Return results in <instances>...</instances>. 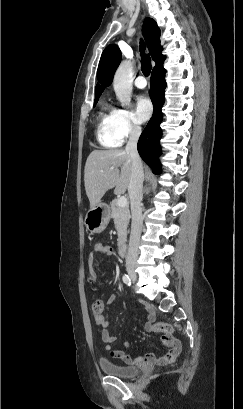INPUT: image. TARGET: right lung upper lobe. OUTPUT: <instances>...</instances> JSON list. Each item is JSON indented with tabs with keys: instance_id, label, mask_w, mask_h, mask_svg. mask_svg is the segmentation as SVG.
<instances>
[{
	"instance_id": "cb5924a9",
	"label": "right lung upper lobe",
	"mask_w": 243,
	"mask_h": 409,
	"mask_svg": "<svg viewBox=\"0 0 243 409\" xmlns=\"http://www.w3.org/2000/svg\"><path fill=\"white\" fill-rule=\"evenodd\" d=\"M143 34L152 59L158 63L165 56L161 54L160 29L152 18L147 17L144 20ZM120 61V49L114 44L107 46L101 55L97 70L99 84L96 85L95 98L100 97L104 87L109 86L112 83L114 73L120 64Z\"/></svg>"
}]
</instances>
